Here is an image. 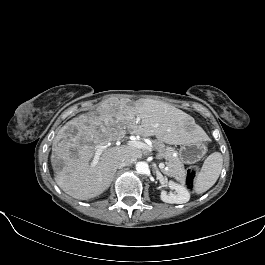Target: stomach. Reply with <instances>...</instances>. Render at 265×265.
<instances>
[{"mask_svg":"<svg viewBox=\"0 0 265 265\" xmlns=\"http://www.w3.org/2000/svg\"><path fill=\"white\" fill-rule=\"evenodd\" d=\"M205 153V148L201 142L196 140L195 136L193 140L181 144L178 151L179 159L182 163L193 164L199 161Z\"/></svg>","mask_w":265,"mask_h":265,"instance_id":"obj_1","label":"stomach"}]
</instances>
